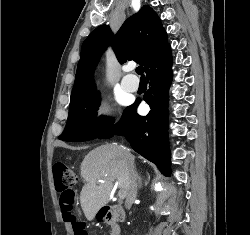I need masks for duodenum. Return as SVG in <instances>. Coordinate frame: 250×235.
<instances>
[{"label":"duodenum","instance_id":"obj_1","mask_svg":"<svg viewBox=\"0 0 250 235\" xmlns=\"http://www.w3.org/2000/svg\"><path fill=\"white\" fill-rule=\"evenodd\" d=\"M124 219L123 208L119 205L109 206L101 212V220L109 225L112 235H121L120 223Z\"/></svg>","mask_w":250,"mask_h":235}]
</instances>
